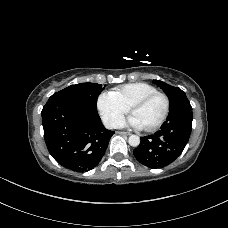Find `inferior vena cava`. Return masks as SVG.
I'll return each instance as SVG.
<instances>
[{
  "instance_id": "inferior-vena-cava-1",
  "label": "inferior vena cava",
  "mask_w": 228,
  "mask_h": 228,
  "mask_svg": "<svg viewBox=\"0 0 228 228\" xmlns=\"http://www.w3.org/2000/svg\"><path fill=\"white\" fill-rule=\"evenodd\" d=\"M103 124H104V126L107 129H114V128L117 127L116 123L113 122L111 119H108V118H106V119L103 120Z\"/></svg>"
}]
</instances>
